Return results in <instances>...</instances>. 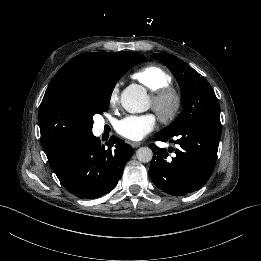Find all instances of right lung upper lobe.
<instances>
[{
  "label": "right lung upper lobe",
  "mask_w": 261,
  "mask_h": 261,
  "mask_svg": "<svg viewBox=\"0 0 261 261\" xmlns=\"http://www.w3.org/2000/svg\"><path fill=\"white\" fill-rule=\"evenodd\" d=\"M122 53L80 54L51 80L38 114L41 143L47 158L92 133L93 119L87 108L90 80L96 71L114 62Z\"/></svg>",
  "instance_id": "cb5924a9"
}]
</instances>
